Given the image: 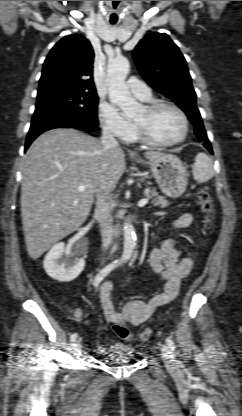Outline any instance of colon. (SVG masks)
Here are the masks:
<instances>
[{
	"mask_svg": "<svg viewBox=\"0 0 242 416\" xmlns=\"http://www.w3.org/2000/svg\"><path fill=\"white\" fill-rule=\"evenodd\" d=\"M198 202L200 210L203 214L204 222L209 224L212 220L213 205L211 203L209 194L205 190H200L198 192ZM113 330L120 338L129 339L132 337L131 331L124 323H114ZM152 334L153 331L151 329H145L138 335V339L146 341L152 337Z\"/></svg>",
	"mask_w": 242,
	"mask_h": 416,
	"instance_id": "1",
	"label": "colon"
}]
</instances>
